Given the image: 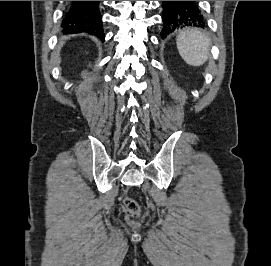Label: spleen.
Returning <instances> with one entry per match:
<instances>
[{
  "label": "spleen",
  "instance_id": "1",
  "mask_svg": "<svg viewBox=\"0 0 271 266\" xmlns=\"http://www.w3.org/2000/svg\"><path fill=\"white\" fill-rule=\"evenodd\" d=\"M176 44L180 56L187 64L201 66L207 61L211 41L204 31L184 29L177 36Z\"/></svg>",
  "mask_w": 271,
  "mask_h": 266
}]
</instances>
